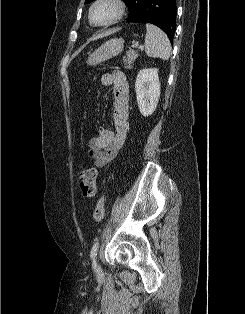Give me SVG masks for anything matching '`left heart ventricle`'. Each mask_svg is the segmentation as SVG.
Instances as JSON below:
<instances>
[{"mask_svg": "<svg viewBox=\"0 0 245 314\" xmlns=\"http://www.w3.org/2000/svg\"><path fill=\"white\" fill-rule=\"evenodd\" d=\"M114 12L115 8L111 3H100L95 7L93 11V21L96 23H104L114 15Z\"/></svg>", "mask_w": 245, "mask_h": 314, "instance_id": "b2bd125f", "label": "left heart ventricle"}]
</instances>
